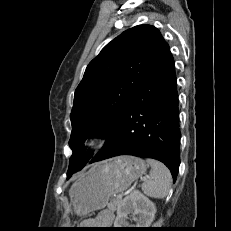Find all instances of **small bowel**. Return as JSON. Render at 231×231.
Wrapping results in <instances>:
<instances>
[{"instance_id":"small-bowel-1","label":"small bowel","mask_w":231,"mask_h":231,"mask_svg":"<svg viewBox=\"0 0 231 231\" xmlns=\"http://www.w3.org/2000/svg\"><path fill=\"white\" fill-rule=\"evenodd\" d=\"M114 220V214L111 211H104L98 217V224L100 228H97L98 231H106L108 227H110Z\"/></svg>"}]
</instances>
